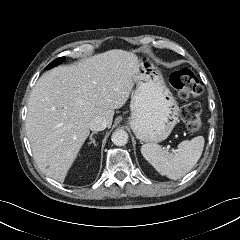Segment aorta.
<instances>
[{
    "label": "aorta",
    "mask_w": 240,
    "mask_h": 240,
    "mask_svg": "<svg viewBox=\"0 0 240 240\" xmlns=\"http://www.w3.org/2000/svg\"><path fill=\"white\" fill-rule=\"evenodd\" d=\"M128 133L125 130H116L112 136L111 140L116 146H124L128 142Z\"/></svg>",
    "instance_id": "1"
}]
</instances>
